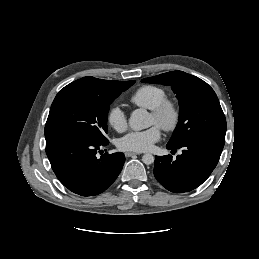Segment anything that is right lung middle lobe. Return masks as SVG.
Segmentation results:
<instances>
[{"label":"right lung middle lobe","instance_id":"obj_1","mask_svg":"<svg viewBox=\"0 0 259 259\" xmlns=\"http://www.w3.org/2000/svg\"><path fill=\"white\" fill-rule=\"evenodd\" d=\"M135 81H120L106 93L67 85L56 95L45 125V139L83 138L108 142L107 113L111 102Z\"/></svg>","mask_w":259,"mask_h":259}]
</instances>
